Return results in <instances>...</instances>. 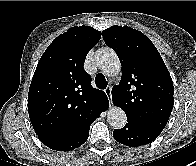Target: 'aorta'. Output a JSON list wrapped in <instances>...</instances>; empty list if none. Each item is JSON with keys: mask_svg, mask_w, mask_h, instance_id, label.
Here are the masks:
<instances>
[{"mask_svg": "<svg viewBox=\"0 0 196 166\" xmlns=\"http://www.w3.org/2000/svg\"><path fill=\"white\" fill-rule=\"evenodd\" d=\"M95 61L98 68L107 75H117L121 70L120 60L111 48L98 50ZM107 120L114 129H121L127 123L124 110L118 106H112L108 109Z\"/></svg>", "mask_w": 196, "mask_h": 166, "instance_id": "762f6f07", "label": "aorta"}]
</instances>
